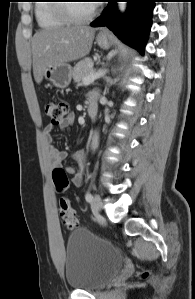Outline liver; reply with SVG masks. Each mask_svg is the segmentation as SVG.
Listing matches in <instances>:
<instances>
[{"instance_id": "1", "label": "liver", "mask_w": 195, "mask_h": 299, "mask_svg": "<svg viewBox=\"0 0 195 299\" xmlns=\"http://www.w3.org/2000/svg\"><path fill=\"white\" fill-rule=\"evenodd\" d=\"M95 30L88 26L43 29L32 39L33 74L37 84L50 66L67 64L89 54Z\"/></svg>"}]
</instances>
